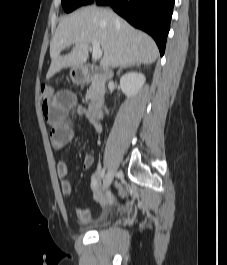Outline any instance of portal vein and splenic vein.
Returning <instances> with one entry per match:
<instances>
[{
  "label": "portal vein and splenic vein",
  "instance_id": "portal-vein-and-splenic-vein-1",
  "mask_svg": "<svg viewBox=\"0 0 227 265\" xmlns=\"http://www.w3.org/2000/svg\"><path fill=\"white\" fill-rule=\"evenodd\" d=\"M92 48H93L92 58L94 60L100 59L102 57L103 51L100 49L99 43L92 42Z\"/></svg>",
  "mask_w": 227,
  "mask_h": 265
}]
</instances>
